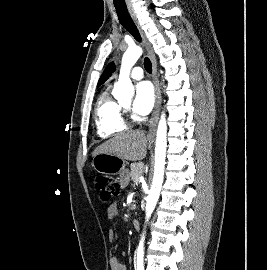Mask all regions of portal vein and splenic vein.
I'll return each mask as SVG.
<instances>
[{
	"mask_svg": "<svg viewBox=\"0 0 267 270\" xmlns=\"http://www.w3.org/2000/svg\"><path fill=\"white\" fill-rule=\"evenodd\" d=\"M141 179H143V176H141L140 178H138L136 182H138V181L141 180Z\"/></svg>",
	"mask_w": 267,
	"mask_h": 270,
	"instance_id": "1",
	"label": "portal vein and splenic vein"
}]
</instances>
